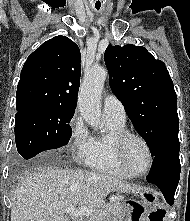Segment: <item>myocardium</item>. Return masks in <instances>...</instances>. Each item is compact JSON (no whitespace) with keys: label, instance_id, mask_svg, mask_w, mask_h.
I'll use <instances>...</instances> for the list:
<instances>
[{"label":"myocardium","instance_id":"f54148a6","mask_svg":"<svg viewBox=\"0 0 190 221\" xmlns=\"http://www.w3.org/2000/svg\"><path fill=\"white\" fill-rule=\"evenodd\" d=\"M129 139H137L140 141L143 146L146 148L149 161H148V166L146 170L143 172H136L134 171L127 163L126 158H125V147L126 143L128 142ZM115 153L117 160L120 164V166L129 174L132 176L140 177L146 175L152 168L153 162H154V154L152 151V148L148 141L139 133L132 132V131H124L121 134H119L115 140Z\"/></svg>","mask_w":190,"mask_h":221}]
</instances>
